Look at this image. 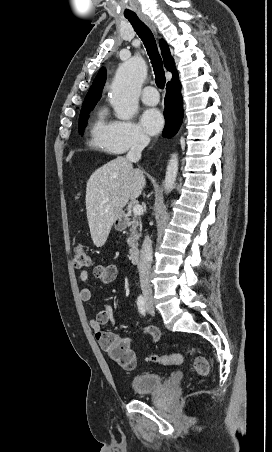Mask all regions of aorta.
<instances>
[{
    "instance_id": "1",
    "label": "aorta",
    "mask_w": 272,
    "mask_h": 452,
    "mask_svg": "<svg viewBox=\"0 0 272 452\" xmlns=\"http://www.w3.org/2000/svg\"><path fill=\"white\" fill-rule=\"evenodd\" d=\"M147 69L145 61L140 56H134L122 63L111 85L110 103L115 115L121 120H130L138 109V97ZM178 172V156L172 154L166 169L164 191L170 193Z\"/></svg>"
}]
</instances>
